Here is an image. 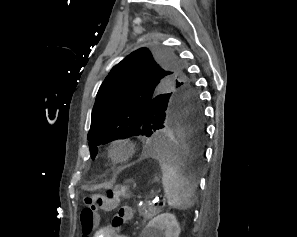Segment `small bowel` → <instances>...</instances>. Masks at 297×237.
<instances>
[{
    "mask_svg": "<svg viewBox=\"0 0 297 237\" xmlns=\"http://www.w3.org/2000/svg\"><path fill=\"white\" fill-rule=\"evenodd\" d=\"M94 237H128L127 235L122 234L116 227H104L98 230Z\"/></svg>",
    "mask_w": 297,
    "mask_h": 237,
    "instance_id": "small-bowel-1",
    "label": "small bowel"
}]
</instances>
